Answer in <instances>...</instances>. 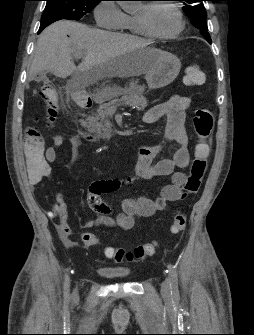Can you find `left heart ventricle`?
I'll use <instances>...</instances> for the list:
<instances>
[{"label": "left heart ventricle", "mask_w": 254, "mask_h": 335, "mask_svg": "<svg viewBox=\"0 0 254 335\" xmlns=\"http://www.w3.org/2000/svg\"><path fill=\"white\" fill-rule=\"evenodd\" d=\"M144 13L142 6L137 15ZM151 27L159 33H171L178 27V18L172 8L167 5L155 6L147 15Z\"/></svg>", "instance_id": "b2bd125f"}]
</instances>
